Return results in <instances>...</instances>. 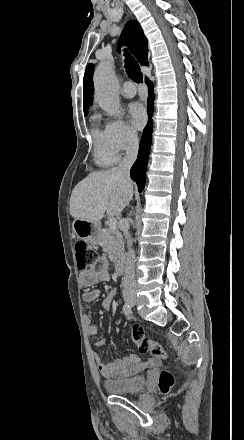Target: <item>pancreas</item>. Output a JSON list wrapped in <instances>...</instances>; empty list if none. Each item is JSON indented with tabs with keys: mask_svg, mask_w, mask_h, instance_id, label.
Masks as SVG:
<instances>
[{
	"mask_svg": "<svg viewBox=\"0 0 244 440\" xmlns=\"http://www.w3.org/2000/svg\"><path fill=\"white\" fill-rule=\"evenodd\" d=\"M98 242H102L103 252L108 254L112 262H119L123 258V240L119 230H107L100 232Z\"/></svg>",
	"mask_w": 244,
	"mask_h": 440,
	"instance_id": "1",
	"label": "pancreas"
}]
</instances>
